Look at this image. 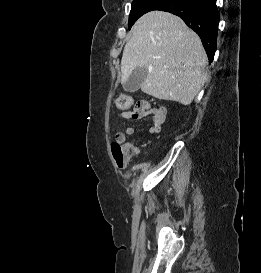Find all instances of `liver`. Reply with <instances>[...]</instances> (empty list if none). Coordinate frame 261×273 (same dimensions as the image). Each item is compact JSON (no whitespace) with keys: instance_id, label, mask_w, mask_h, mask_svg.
I'll list each match as a JSON object with an SVG mask.
<instances>
[{"instance_id":"1","label":"liver","mask_w":261,"mask_h":273,"mask_svg":"<svg viewBox=\"0 0 261 273\" xmlns=\"http://www.w3.org/2000/svg\"><path fill=\"white\" fill-rule=\"evenodd\" d=\"M206 52L198 35L171 13L151 11L134 24L121 59V83L144 67L141 90L155 98L189 105L207 79Z\"/></svg>"}]
</instances>
